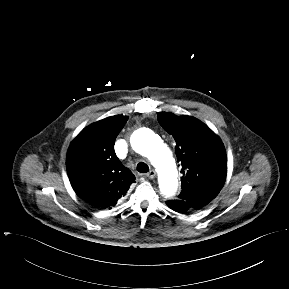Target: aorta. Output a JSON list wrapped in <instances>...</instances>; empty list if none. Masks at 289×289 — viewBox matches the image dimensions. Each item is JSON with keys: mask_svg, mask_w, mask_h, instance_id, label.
Returning <instances> with one entry per match:
<instances>
[{"mask_svg": "<svg viewBox=\"0 0 289 289\" xmlns=\"http://www.w3.org/2000/svg\"><path fill=\"white\" fill-rule=\"evenodd\" d=\"M131 145L156 168L161 193L173 196L178 188V172L173 154L163 140L151 130L140 129L132 135Z\"/></svg>", "mask_w": 289, "mask_h": 289, "instance_id": "1", "label": "aorta"}]
</instances>
